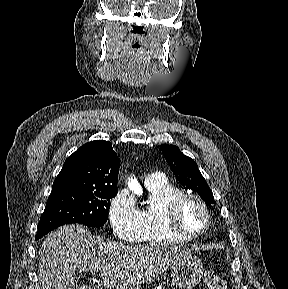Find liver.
<instances>
[{"mask_svg": "<svg viewBox=\"0 0 288 289\" xmlns=\"http://www.w3.org/2000/svg\"><path fill=\"white\" fill-rule=\"evenodd\" d=\"M191 256L177 247L126 245L87 236L82 225L69 224L46 236L39 250L38 277L41 289H75L79 268L99 274L106 289H139Z\"/></svg>", "mask_w": 288, "mask_h": 289, "instance_id": "6515ba94", "label": "liver"}]
</instances>
